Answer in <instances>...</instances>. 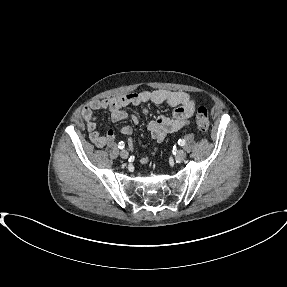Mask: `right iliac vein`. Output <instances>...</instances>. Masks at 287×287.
Instances as JSON below:
<instances>
[{
  "instance_id": "right-iliac-vein-1",
  "label": "right iliac vein",
  "mask_w": 287,
  "mask_h": 287,
  "mask_svg": "<svg viewBox=\"0 0 287 287\" xmlns=\"http://www.w3.org/2000/svg\"><path fill=\"white\" fill-rule=\"evenodd\" d=\"M120 156H121V158H123V159H127L128 156H129V153H128L127 150H122V151L120 152Z\"/></svg>"
}]
</instances>
